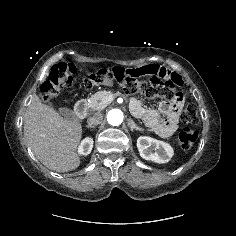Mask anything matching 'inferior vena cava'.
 Returning <instances> with one entry per match:
<instances>
[{
  "label": "inferior vena cava",
  "instance_id": "inferior-vena-cava-1",
  "mask_svg": "<svg viewBox=\"0 0 236 236\" xmlns=\"http://www.w3.org/2000/svg\"><path fill=\"white\" fill-rule=\"evenodd\" d=\"M103 115L101 113L95 114L94 116L87 119L88 125L95 126L102 122Z\"/></svg>",
  "mask_w": 236,
  "mask_h": 236
}]
</instances>
